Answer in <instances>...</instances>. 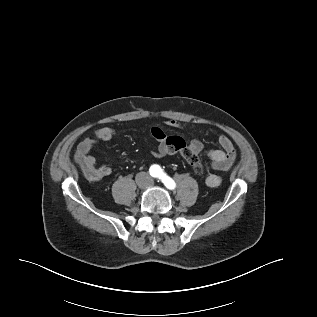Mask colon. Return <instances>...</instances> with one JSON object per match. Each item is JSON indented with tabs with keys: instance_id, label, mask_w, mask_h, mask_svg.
Instances as JSON below:
<instances>
[{
	"instance_id": "obj_1",
	"label": "colon",
	"mask_w": 317,
	"mask_h": 317,
	"mask_svg": "<svg viewBox=\"0 0 317 317\" xmlns=\"http://www.w3.org/2000/svg\"><path fill=\"white\" fill-rule=\"evenodd\" d=\"M176 150H177V153L181 154L187 160L188 164L191 166L195 174H198V175L202 174L203 166L201 161L198 158V155L193 154L187 148H183V149L179 148V150L178 148H176ZM82 169L86 176L90 178L93 177L94 172L89 166L82 165Z\"/></svg>"
}]
</instances>
